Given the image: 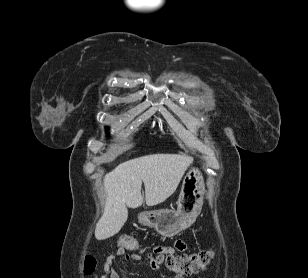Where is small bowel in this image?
Instances as JSON below:
<instances>
[{
    "instance_id": "1",
    "label": "small bowel",
    "mask_w": 308,
    "mask_h": 278,
    "mask_svg": "<svg viewBox=\"0 0 308 278\" xmlns=\"http://www.w3.org/2000/svg\"><path fill=\"white\" fill-rule=\"evenodd\" d=\"M186 249V244L183 241H177L173 246H163L159 245L154 247L152 250L144 252V256L150 260L151 266L153 268L157 267V262L154 256L165 255V254H175L176 251H184ZM124 258L127 261L140 262L142 256L139 253H127L123 248L117 249L115 252L111 253L103 263L104 275L101 278H120L113 266L114 259ZM174 278H183L182 275L177 274Z\"/></svg>"
}]
</instances>
